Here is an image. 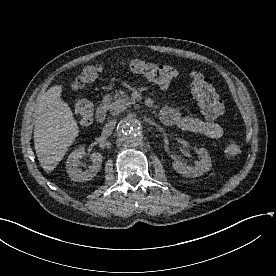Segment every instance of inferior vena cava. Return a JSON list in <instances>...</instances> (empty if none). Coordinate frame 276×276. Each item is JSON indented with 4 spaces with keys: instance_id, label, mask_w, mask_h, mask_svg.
<instances>
[{
    "instance_id": "1",
    "label": "inferior vena cava",
    "mask_w": 276,
    "mask_h": 276,
    "mask_svg": "<svg viewBox=\"0 0 276 276\" xmlns=\"http://www.w3.org/2000/svg\"><path fill=\"white\" fill-rule=\"evenodd\" d=\"M115 125H116V121H110L103 128V133L106 135H110L112 133V130L114 129Z\"/></svg>"
}]
</instances>
